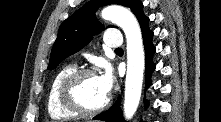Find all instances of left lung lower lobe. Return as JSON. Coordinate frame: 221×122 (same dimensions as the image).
<instances>
[{"mask_svg":"<svg viewBox=\"0 0 221 122\" xmlns=\"http://www.w3.org/2000/svg\"><path fill=\"white\" fill-rule=\"evenodd\" d=\"M132 12L138 18L140 23L144 49H145V79L147 89L151 84V73L155 70V64L153 63L152 57L155 53V47L152 44L153 32L148 27L149 18L143 13V4L138 0L134 5ZM120 101L119 97L117 101L104 113L97 115L94 119L103 120L106 122H125L122 117V112L120 109ZM145 106H148V103L144 101Z\"/></svg>","mask_w":221,"mask_h":122,"instance_id":"obj_1","label":"left lung lower lobe"}]
</instances>
